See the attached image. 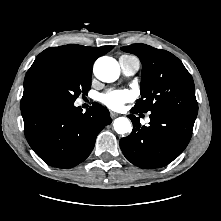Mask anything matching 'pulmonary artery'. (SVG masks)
Listing matches in <instances>:
<instances>
[{"instance_id":"1","label":"pulmonary artery","mask_w":221,"mask_h":221,"mask_svg":"<svg viewBox=\"0 0 221 221\" xmlns=\"http://www.w3.org/2000/svg\"><path fill=\"white\" fill-rule=\"evenodd\" d=\"M121 71L126 76H132L137 73L140 68V62L136 57L122 55L119 58Z\"/></svg>"}]
</instances>
